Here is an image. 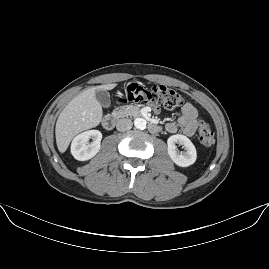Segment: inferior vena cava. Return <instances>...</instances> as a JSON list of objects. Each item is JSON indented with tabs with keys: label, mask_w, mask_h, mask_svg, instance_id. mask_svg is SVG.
Wrapping results in <instances>:
<instances>
[{
	"label": "inferior vena cava",
	"mask_w": 269,
	"mask_h": 269,
	"mask_svg": "<svg viewBox=\"0 0 269 269\" xmlns=\"http://www.w3.org/2000/svg\"><path fill=\"white\" fill-rule=\"evenodd\" d=\"M133 123L130 119L123 118L117 122L116 128L120 132L128 131L132 128Z\"/></svg>",
	"instance_id": "obj_1"
}]
</instances>
